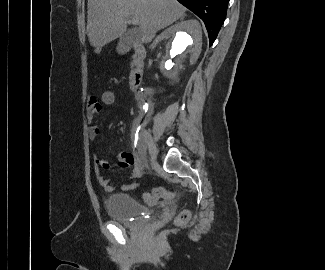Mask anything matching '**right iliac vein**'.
<instances>
[{"label":"right iliac vein","instance_id":"obj_1","mask_svg":"<svg viewBox=\"0 0 325 270\" xmlns=\"http://www.w3.org/2000/svg\"><path fill=\"white\" fill-rule=\"evenodd\" d=\"M149 154L152 160H155L158 154V149L156 147V145L154 144V142H152L151 140V147L149 149Z\"/></svg>","mask_w":325,"mask_h":270}]
</instances>
